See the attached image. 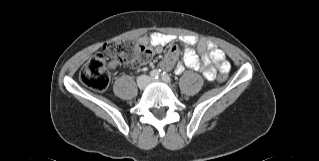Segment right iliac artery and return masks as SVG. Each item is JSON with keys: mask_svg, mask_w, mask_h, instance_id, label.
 <instances>
[{"mask_svg": "<svg viewBox=\"0 0 319 161\" xmlns=\"http://www.w3.org/2000/svg\"><path fill=\"white\" fill-rule=\"evenodd\" d=\"M150 77L153 78V79H158L160 77V70H152L150 73H149Z\"/></svg>", "mask_w": 319, "mask_h": 161, "instance_id": "82829eb1", "label": "right iliac artery"}]
</instances>
